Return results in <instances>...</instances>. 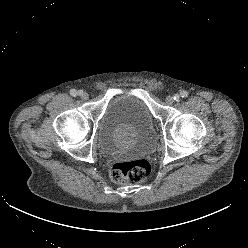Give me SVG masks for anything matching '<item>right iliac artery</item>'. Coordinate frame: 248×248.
<instances>
[{
    "mask_svg": "<svg viewBox=\"0 0 248 248\" xmlns=\"http://www.w3.org/2000/svg\"><path fill=\"white\" fill-rule=\"evenodd\" d=\"M70 94H71V96L76 97V96H78V95L81 94V91H77V90H75V89H72V90L70 91Z\"/></svg>",
    "mask_w": 248,
    "mask_h": 248,
    "instance_id": "1",
    "label": "right iliac artery"
}]
</instances>
